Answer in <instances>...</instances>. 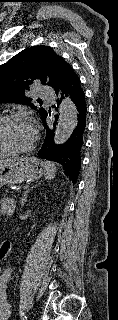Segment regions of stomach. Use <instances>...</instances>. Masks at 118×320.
<instances>
[{
	"mask_svg": "<svg viewBox=\"0 0 118 320\" xmlns=\"http://www.w3.org/2000/svg\"><path fill=\"white\" fill-rule=\"evenodd\" d=\"M45 165L35 157H13L0 162V188L6 184L40 179Z\"/></svg>",
	"mask_w": 118,
	"mask_h": 320,
	"instance_id": "0dacf381",
	"label": "stomach"
}]
</instances>
